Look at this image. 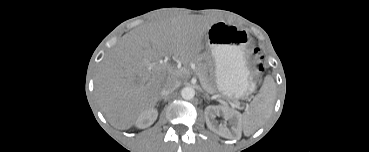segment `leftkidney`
<instances>
[{"label":"left kidney","instance_id":"5707ae66","mask_svg":"<svg viewBox=\"0 0 369 152\" xmlns=\"http://www.w3.org/2000/svg\"><path fill=\"white\" fill-rule=\"evenodd\" d=\"M223 115L225 120H228L232 124V131L223 127L222 125L215 124L212 119L215 115L221 114ZM205 119L207 127L217 133L218 135L228 138V139H236L239 135V114L237 112L231 111L222 106H207L205 108Z\"/></svg>","mask_w":369,"mask_h":152}]
</instances>
